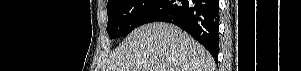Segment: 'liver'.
Listing matches in <instances>:
<instances>
[{
  "instance_id": "liver-1",
  "label": "liver",
  "mask_w": 301,
  "mask_h": 71,
  "mask_svg": "<svg viewBox=\"0 0 301 71\" xmlns=\"http://www.w3.org/2000/svg\"><path fill=\"white\" fill-rule=\"evenodd\" d=\"M211 54L177 26L145 24L116 48L103 71H214Z\"/></svg>"
}]
</instances>
